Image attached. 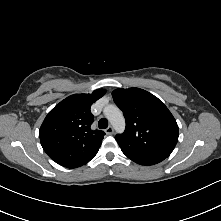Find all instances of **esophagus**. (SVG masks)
<instances>
[{
    "label": "esophagus",
    "mask_w": 221,
    "mask_h": 221,
    "mask_svg": "<svg viewBox=\"0 0 221 221\" xmlns=\"http://www.w3.org/2000/svg\"><path fill=\"white\" fill-rule=\"evenodd\" d=\"M106 134L108 135H112L114 133V128L112 126H109L106 130H105Z\"/></svg>",
    "instance_id": "34e87169"
}]
</instances>
